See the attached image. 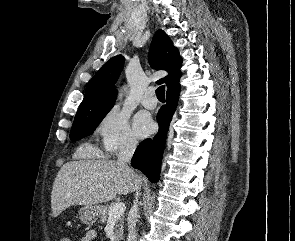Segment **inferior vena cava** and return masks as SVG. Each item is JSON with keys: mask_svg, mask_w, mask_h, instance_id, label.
Returning a JSON list of instances; mask_svg holds the SVG:
<instances>
[{"mask_svg": "<svg viewBox=\"0 0 295 241\" xmlns=\"http://www.w3.org/2000/svg\"><path fill=\"white\" fill-rule=\"evenodd\" d=\"M137 141L132 137L125 138L120 146L117 164L124 166L128 171L132 172V169L129 168L128 163H130L131 158L134 154L136 149ZM138 197L139 191L136 188L135 200L133 207L130 211V216L128 217V238L127 241H137V234H136V214L138 212Z\"/></svg>", "mask_w": 295, "mask_h": 241, "instance_id": "602c4592", "label": "inferior vena cava"}]
</instances>
